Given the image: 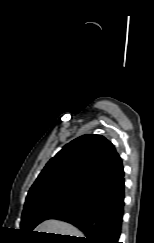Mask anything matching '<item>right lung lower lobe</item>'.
I'll list each match as a JSON object with an SVG mask.
<instances>
[{
  "label": "right lung lower lobe",
  "instance_id": "98d812e1",
  "mask_svg": "<svg viewBox=\"0 0 154 243\" xmlns=\"http://www.w3.org/2000/svg\"><path fill=\"white\" fill-rule=\"evenodd\" d=\"M124 176L86 200L50 219L66 221L79 228L85 237L78 243H119L124 208Z\"/></svg>",
  "mask_w": 154,
  "mask_h": 243
}]
</instances>
